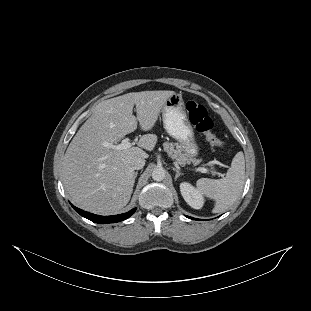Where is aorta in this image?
Listing matches in <instances>:
<instances>
[{
    "instance_id": "762f6f07",
    "label": "aorta",
    "mask_w": 311,
    "mask_h": 311,
    "mask_svg": "<svg viewBox=\"0 0 311 311\" xmlns=\"http://www.w3.org/2000/svg\"><path fill=\"white\" fill-rule=\"evenodd\" d=\"M166 173L163 168H155L152 172V179L156 182H161L165 179Z\"/></svg>"
}]
</instances>
